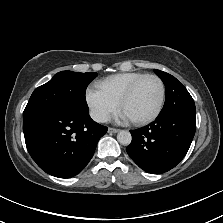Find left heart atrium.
<instances>
[{"label": "left heart atrium", "mask_w": 223, "mask_h": 223, "mask_svg": "<svg viewBox=\"0 0 223 223\" xmlns=\"http://www.w3.org/2000/svg\"><path fill=\"white\" fill-rule=\"evenodd\" d=\"M119 117L121 118V119H130L124 112H120L119 113Z\"/></svg>", "instance_id": "1"}]
</instances>
